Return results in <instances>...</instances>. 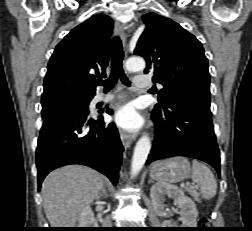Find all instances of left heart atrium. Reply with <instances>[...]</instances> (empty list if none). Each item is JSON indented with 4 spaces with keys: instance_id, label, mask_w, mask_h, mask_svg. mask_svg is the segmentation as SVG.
Here are the masks:
<instances>
[{
    "instance_id": "1",
    "label": "left heart atrium",
    "mask_w": 252,
    "mask_h": 231,
    "mask_svg": "<svg viewBox=\"0 0 252 231\" xmlns=\"http://www.w3.org/2000/svg\"><path fill=\"white\" fill-rule=\"evenodd\" d=\"M116 124L126 130H137L143 124L140 114L131 105L121 107L115 114Z\"/></svg>"
}]
</instances>
